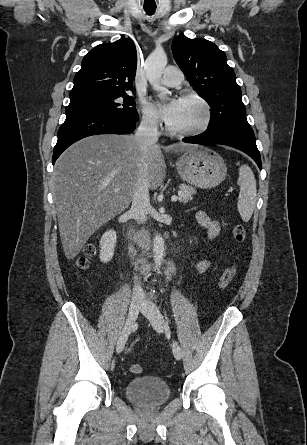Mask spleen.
Segmentation results:
<instances>
[{"label":"spleen","mask_w":307,"mask_h":445,"mask_svg":"<svg viewBox=\"0 0 307 445\" xmlns=\"http://www.w3.org/2000/svg\"><path fill=\"white\" fill-rule=\"evenodd\" d=\"M237 184L240 186L237 202L238 212L244 223H248L253 214L257 198L256 178L248 164H241Z\"/></svg>","instance_id":"1"}]
</instances>
